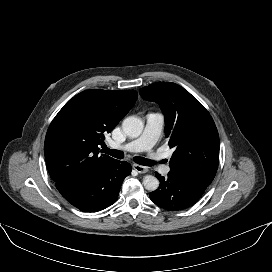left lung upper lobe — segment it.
<instances>
[{
  "label": "left lung upper lobe",
  "mask_w": 272,
  "mask_h": 272,
  "mask_svg": "<svg viewBox=\"0 0 272 272\" xmlns=\"http://www.w3.org/2000/svg\"><path fill=\"white\" fill-rule=\"evenodd\" d=\"M140 95L158 103L165 115L168 145L175 149L170 173L209 185L219 162V135L209 112L188 91L171 82L146 86Z\"/></svg>",
  "instance_id": "5c2ea615"
}]
</instances>
